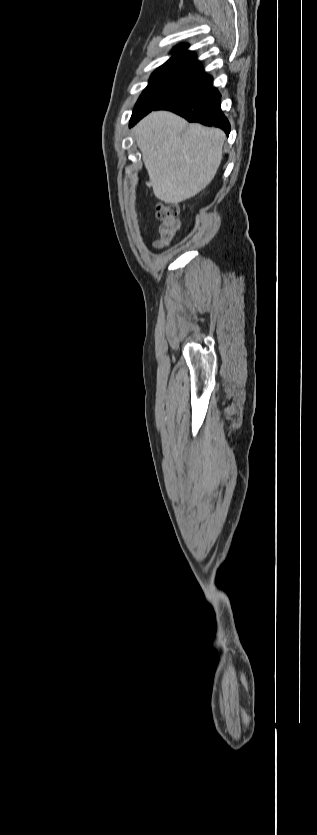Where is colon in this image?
I'll list each match as a JSON object with an SVG mask.
<instances>
[{
    "label": "colon",
    "mask_w": 317,
    "mask_h": 835,
    "mask_svg": "<svg viewBox=\"0 0 317 835\" xmlns=\"http://www.w3.org/2000/svg\"><path fill=\"white\" fill-rule=\"evenodd\" d=\"M158 220L161 222L160 232L164 240L172 238L179 230V208L176 204L160 201L156 207Z\"/></svg>",
    "instance_id": "5ec220e1"
}]
</instances>
